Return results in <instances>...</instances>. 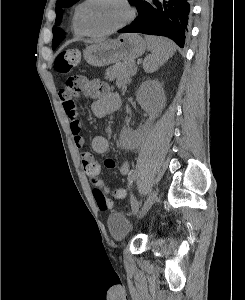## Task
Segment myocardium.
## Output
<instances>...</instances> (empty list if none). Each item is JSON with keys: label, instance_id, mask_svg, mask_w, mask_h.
I'll list each match as a JSON object with an SVG mask.
<instances>
[{"label": "myocardium", "instance_id": "f54148a6", "mask_svg": "<svg viewBox=\"0 0 245 300\" xmlns=\"http://www.w3.org/2000/svg\"><path fill=\"white\" fill-rule=\"evenodd\" d=\"M92 1L93 0H84L78 7V10L76 13V21H77L78 26L80 27L82 32L88 36L102 37V36H107V35L113 34L117 31L121 30L125 26H127L134 18L135 10H134L132 4L130 3V1L129 0H120V2L124 5V7L127 11V15H126L125 19L120 24H118L108 30L99 31V32L89 31L83 25L82 12H83L84 8Z\"/></svg>", "mask_w": 245, "mask_h": 300}]
</instances>
